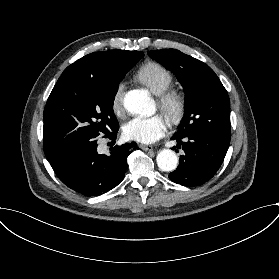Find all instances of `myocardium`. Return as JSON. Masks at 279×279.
<instances>
[{"mask_svg":"<svg viewBox=\"0 0 279 279\" xmlns=\"http://www.w3.org/2000/svg\"><path fill=\"white\" fill-rule=\"evenodd\" d=\"M158 102L161 110L171 124L177 125L180 123L186 111V100L180 90L167 89L158 94Z\"/></svg>","mask_w":279,"mask_h":279,"instance_id":"1","label":"myocardium"}]
</instances>
